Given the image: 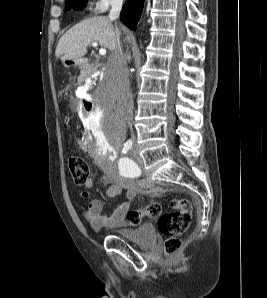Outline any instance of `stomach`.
Segmentation results:
<instances>
[{"mask_svg":"<svg viewBox=\"0 0 267 298\" xmlns=\"http://www.w3.org/2000/svg\"><path fill=\"white\" fill-rule=\"evenodd\" d=\"M67 61H70V60H67ZM73 62H74V64H77V61L74 60ZM68 63L70 64L71 62H68Z\"/></svg>","mask_w":267,"mask_h":298,"instance_id":"obj_1","label":"stomach"}]
</instances>
